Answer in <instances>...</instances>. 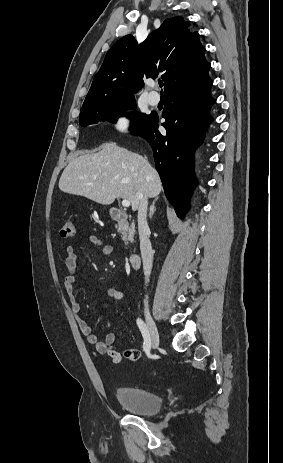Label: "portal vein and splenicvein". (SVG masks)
Instances as JSON below:
<instances>
[{
	"mask_svg": "<svg viewBox=\"0 0 283 463\" xmlns=\"http://www.w3.org/2000/svg\"><path fill=\"white\" fill-rule=\"evenodd\" d=\"M122 206H124V207H129V206H130V201L127 200V199H123V200H122Z\"/></svg>",
	"mask_w": 283,
	"mask_h": 463,
	"instance_id": "obj_1",
	"label": "portal vein and splenic vein"
}]
</instances>
